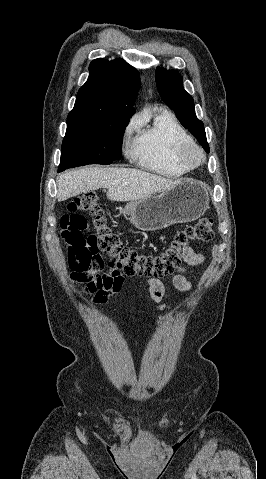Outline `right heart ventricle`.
I'll return each mask as SVG.
<instances>
[{"label": "right heart ventricle", "mask_w": 266, "mask_h": 479, "mask_svg": "<svg viewBox=\"0 0 266 479\" xmlns=\"http://www.w3.org/2000/svg\"><path fill=\"white\" fill-rule=\"evenodd\" d=\"M192 142L189 134L168 111L155 115L152 125L137 129L129 147V156L137 164L155 174L165 177H180L193 168L182 163L178 149Z\"/></svg>", "instance_id": "1"}]
</instances>
